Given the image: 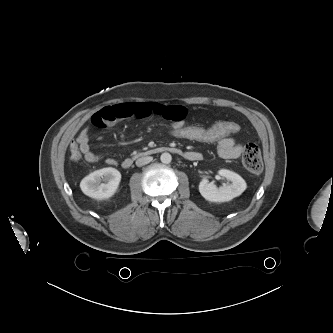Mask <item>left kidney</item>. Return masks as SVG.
<instances>
[{
	"label": "left kidney",
	"mask_w": 333,
	"mask_h": 333,
	"mask_svg": "<svg viewBox=\"0 0 333 333\" xmlns=\"http://www.w3.org/2000/svg\"><path fill=\"white\" fill-rule=\"evenodd\" d=\"M218 174L231 183L217 187L214 183L203 179L199 184V192L207 201L227 202L240 196L246 190V182L239 174L226 169L219 170Z\"/></svg>",
	"instance_id": "1"
}]
</instances>
